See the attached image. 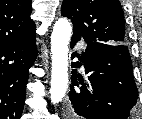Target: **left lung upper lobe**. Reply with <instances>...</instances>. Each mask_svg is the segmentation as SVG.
<instances>
[{
  "mask_svg": "<svg viewBox=\"0 0 142 119\" xmlns=\"http://www.w3.org/2000/svg\"><path fill=\"white\" fill-rule=\"evenodd\" d=\"M61 14L71 19L73 34L86 43H126L125 21L119 0H64Z\"/></svg>",
  "mask_w": 142,
  "mask_h": 119,
  "instance_id": "5c2ea615",
  "label": "left lung upper lobe"
}]
</instances>
